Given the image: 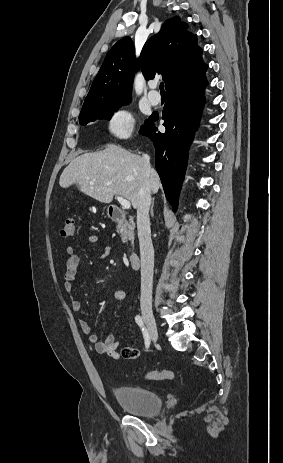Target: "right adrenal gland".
Returning <instances> with one entry per match:
<instances>
[{
    "label": "right adrenal gland",
    "mask_w": 283,
    "mask_h": 463,
    "mask_svg": "<svg viewBox=\"0 0 283 463\" xmlns=\"http://www.w3.org/2000/svg\"><path fill=\"white\" fill-rule=\"evenodd\" d=\"M154 201H155V198L152 199V204H151V216L153 217L154 216Z\"/></svg>",
    "instance_id": "obj_1"
}]
</instances>
